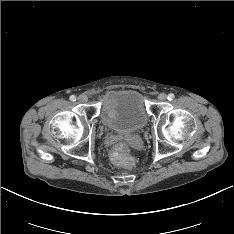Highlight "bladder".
I'll return each mask as SVG.
<instances>
[{
  "mask_svg": "<svg viewBox=\"0 0 234 234\" xmlns=\"http://www.w3.org/2000/svg\"><path fill=\"white\" fill-rule=\"evenodd\" d=\"M102 117L108 129L118 134L138 132L148 120L142 95L135 90L109 92L103 101Z\"/></svg>",
  "mask_w": 234,
  "mask_h": 234,
  "instance_id": "bladder-1",
  "label": "bladder"
}]
</instances>
